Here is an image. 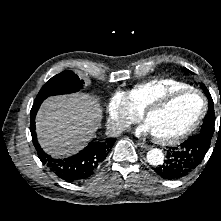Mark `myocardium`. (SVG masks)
<instances>
[{"mask_svg":"<svg viewBox=\"0 0 221 221\" xmlns=\"http://www.w3.org/2000/svg\"><path fill=\"white\" fill-rule=\"evenodd\" d=\"M194 93L197 94L201 100H202V107L198 114V116L195 118V120L187 126L183 131L180 133L170 136V137H161L157 135H153V139L159 143L164 145H173L181 142L182 140L186 139L189 135H191L200 125L202 120L204 119L207 109H208V103L205 95L198 89L193 87H188L185 89H179L175 91H171L164 96L156 99L153 101L150 105H148L142 112H141V118L146 121L147 117L153 113L159 112L169 106L172 102H174L179 97Z\"/></svg>","mask_w":221,"mask_h":221,"instance_id":"myocardium-1","label":"myocardium"}]
</instances>
